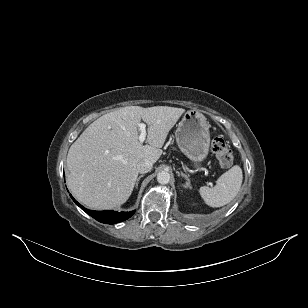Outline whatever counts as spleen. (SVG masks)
<instances>
[{
	"instance_id": "obj_1",
	"label": "spleen",
	"mask_w": 308,
	"mask_h": 308,
	"mask_svg": "<svg viewBox=\"0 0 308 308\" xmlns=\"http://www.w3.org/2000/svg\"><path fill=\"white\" fill-rule=\"evenodd\" d=\"M242 180V169L235 165L218 178L214 187L202 186L199 193L207 205L221 207L230 203L237 196Z\"/></svg>"
}]
</instances>
